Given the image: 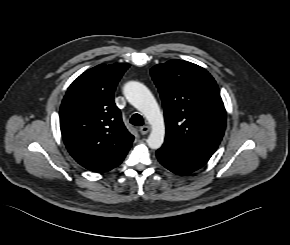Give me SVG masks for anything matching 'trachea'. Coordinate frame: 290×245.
Segmentation results:
<instances>
[{
    "mask_svg": "<svg viewBox=\"0 0 290 245\" xmlns=\"http://www.w3.org/2000/svg\"><path fill=\"white\" fill-rule=\"evenodd\" d=\"M130 123L135 125V126H142L144 123V120L140 114L136 113V114L132 115V117L130 119Z\"/></svg>",
    "mask_w": 290,
    "mask_h": 245,
    "instance_id": "obj_1",
    "label": "trachea"
}]
</instances>
